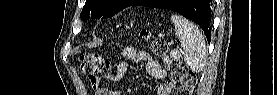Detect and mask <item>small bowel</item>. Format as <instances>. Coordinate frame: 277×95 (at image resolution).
<instances>
[{
  "label": "small bowel",
  "instance_id": "c3829d8e",
  "mask_svg": "<svg viewBox=\"0 0 277 95\" xmlns=\"http://www.w3.org/2000/svg\"><path fill=\"white\" fill-rule=\"evenodd\" d=\"M127 61H144L146 62V68L150 75L153 77L164 80L165 82L160 84L157 90L158 95H171L172 89L175 87V81L160 65L159 61L144 51L137 52L134 47H126L123 50V62L118 65L115 72L106 74V79L111 82L121 80L127 69ZM91 87L95 95H117L110 89H107L103 85V81L100 77H94L90 79Z\"/></svg>",
  "mask_w": 277,
  "mask_h": 95
}]
</instances>
